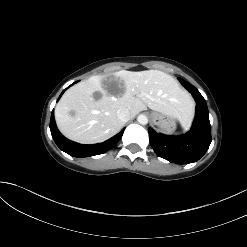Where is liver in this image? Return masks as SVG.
I'll return each mask as SVG.
<instances>
[{"mask_svg":"<svg viewBox=\"0 0 247 247\" xmlns=\"http://www.w3.org/2000/svg\"><path fill=\"white\" fill-rule=\"evenodd\" d=\"M95 92L101 94L98 100L93 97ZM147 107L179 120L186 129L191 124L194 111L191 97L173 76L159 70H121L91 76L64 93L55 108V120L68 139L93 144L121 130L124 122L117 117L118 109L127 108L134 117Z\"/></svg>","mask_w":247,"mask_h":247,"instance_id":"1","label":"liver"}]
</instances>
